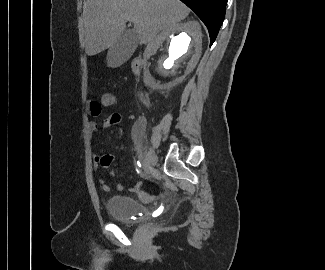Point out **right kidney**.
<instances>
[{"label": "right kidney", "mask_w": 325, "mask_h": 270, "mask_svg": "<svg viewBox=\"0 0 325 270\" xmlns=\"http://www.w3.org/2000/svg\"><path fill=\"white\" fill-rule=\"evenodd\" d=\"M157 41L160 53L155 63L145 68L144 83L153 90H170L181 84L199 61L201 27L196 21L179 23L162 31Z\"/></svg>", "instance_id": "ca27d5eb"}]
</instances>
